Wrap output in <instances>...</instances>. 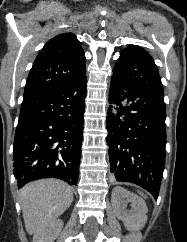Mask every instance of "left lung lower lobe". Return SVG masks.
I'll list each match as a JSON object with an SVG mask.
<instances>
[{"label": "left lung lower lobe", "mask_w": 187, "mask_h": 242, "mask_svg": "<svg viewBox=\"0 0 187 242\" xmlns=\"http://www.w3.org/2000/svg\"><path fill=\"white\" fill-rule=\"evenodd\" d=\"M106 127L110 170L117 181L137 184L158 197L166 157V106L112 75Z\"/></svg>", "instance_id": "0a47b994"}]
</instances>
